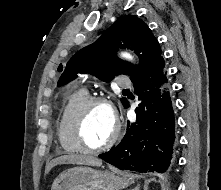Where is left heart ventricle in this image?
Returning <instances> with one entry per match:
<instances>
[{
  "instance_id": "1",
  "label": "left heart ventricle",
  "mask_w": 221,
  "mask_h": 190,
  "mask_svg": "<svg viewBox=\"0 0 221 190\" xmlns=\"http://www.w3.org/2000/svg\"><path fill=\"white\" fill-rule=\"evenodd\" d=\"M114 130V115L105 105H95L88 111L83 135L89 146L96 147L108 141Z\"/></svg>"
}]
</instances>
